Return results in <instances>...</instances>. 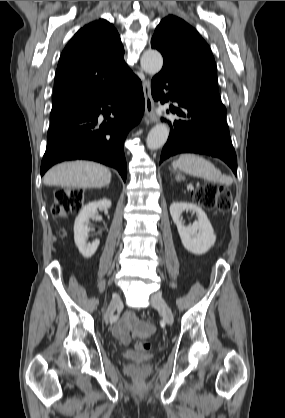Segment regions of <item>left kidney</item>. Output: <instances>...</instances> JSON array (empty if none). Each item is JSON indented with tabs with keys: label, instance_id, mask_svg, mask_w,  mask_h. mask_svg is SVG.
<instances>
[{
	"label": "left kidney",
	"instance_id": "obj_1",
	"mask_svg": "<svg viewBox=\"0 0 285 418\" xmlns=\"http://www.w3.org/2000/svg\"><path fill=\"white\" fill-rule=\"evenodd\" d=\"M184 211L196 213L198 220L192 225L185 226L182 222V213ZM170 214L177 226L182 244L189 252L202 255L214 245L216 235L206 213L201 207L193 203L173 202L170 205Z\"/></svg>",
	"mask_w": 285,
	"mask_h": 418
}]
</instances>
